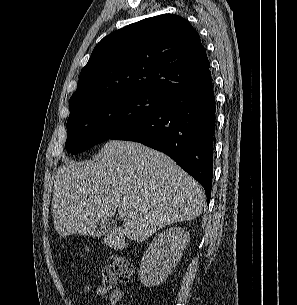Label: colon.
Returning <instances> with one entry per match:
<instances>
[{
    "label": "colon",
    "mask_w": 297,
    "mask_h": 305,
    "mask_svg": "<svg viewBox=\"0 0 297 305\" xmlns=\"http://www.w3.org/2000/svg\"><path fill=\"white\" fill-rule=\"evenodd\" d=\"M109 270L115 278L119 280H129L135 271V266L131 258L125 255H113L110 258Z\"/></svg>",
    "instance_id": "5ec220e1"
}]
</instances>
